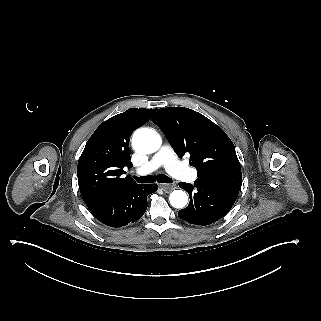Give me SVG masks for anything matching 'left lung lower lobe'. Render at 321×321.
<instances>
[{"label": "left lung lower lobe", "mask_w": 321, "mask_h": 321, "mask_svg": "<svg viewBox=\"0 0 321 321\" xmlns=\"http://www.w3.org/2000/svg\"><path fill=\"white\" fill-rule=\"evenodd\" d=\"M242 182L241 171H221L198 176L194 185L180 182L190 196L187 208L178 216L188 223L209 225L225 216L238 196Z\"/></svg>", "instance_id": "1"}]
</instances>
